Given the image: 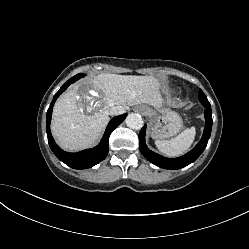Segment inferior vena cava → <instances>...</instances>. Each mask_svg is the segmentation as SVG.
I'll return each mask as SVG.
<instances>
[{"instance_id":"inferior-vena-cava-1","label":"inferior vena cava","mask_w":249,"mask_h":249,"mask_svg":"<svg viewBox=\"0 0 249 249\" xmlns=\"http://www.w3.org/2000/svg\"><path fill=\"white\" fill-rule=\"evenodd\" d=\"M125 108L122 106H114L112 108H110L109 113L110 115H121L123 113H125Z\"/></svg>"}]
</instances>
